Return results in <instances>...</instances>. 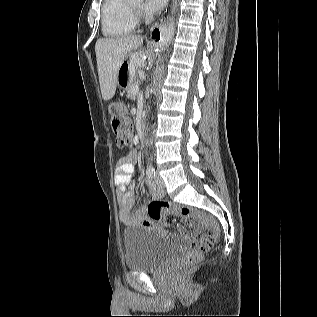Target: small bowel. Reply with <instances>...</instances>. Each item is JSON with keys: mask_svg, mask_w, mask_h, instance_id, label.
<instances>
[{"mask_svg": "<svg viewBox=\"0 0 317 317\" xmlns=\"http://www.w3.org/2000/svg\"><path fill=\"white\" fill-rule=\"evenodd\" d=\"M135 158L136 155L134 153H130L122 158L118 162L115 171V184L117 186L121 221L126 225L142 224L152 229H158L161 233L165 234L164 229L157 227L156 223L149 219L146 206L134 210L137 194L134 183H131V178ZM148 187L154 198L163 196L164 192L151 182H149ZM180 233L184 238H187V234L183 228L180 229Z\"/></svg>", "mask_w": 317, "mask_h": 317, "instance_id": "small-bowel-1", "label": "small bowel"}]
</instances>
